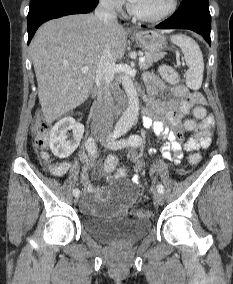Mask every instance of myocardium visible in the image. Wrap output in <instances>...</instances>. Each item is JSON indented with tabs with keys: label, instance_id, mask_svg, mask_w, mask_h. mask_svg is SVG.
Here are the masks:
<instances>
[{
	"label": "myocardium",
	"instance_id": "obj_1",
	"mask_svg": "<svg viewBox=\"0 0 233 284\" xmlns=\"http://www.w3.org/2000/svg\"><path fill=\"white\" fill-rule=\"evenodd\" d=\"M177 8H178V0H170V5L164 12L155 16H149L137 11L132 3H130L128 6L130 14L133 15L135 18L144 22H151V23L160 22L169 18L172 14L175 13Z\"/></svg>",
	"mask_w": 233,
	"mask_h": 284
}]
</instances>
